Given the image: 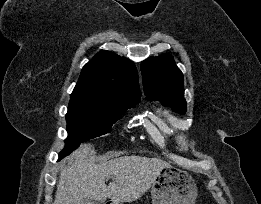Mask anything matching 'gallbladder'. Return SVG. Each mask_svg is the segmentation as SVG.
<instances>
[{
	"mask_svg": "<svg viewBox=\"0 0 261 204\" xmlns=\"http://www.w3.org/2000/svg\"><path fill=\"white\" fill-rule=\"evenodd\" d=\"M81 204H99V203L93 199H85L81 202Z\"/></svg>",
	"mask_w": 261,
	"mask_h": 204,
	"instance_id": "1",
	"label": "gallbladder"
}]
</instances>
